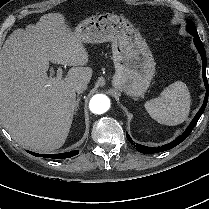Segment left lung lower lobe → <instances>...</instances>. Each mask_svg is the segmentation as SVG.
Here are the masks:
<instances>
[{
	"label": "left lung lower lobe",
	"mask_w": 209,
	"mask_h": 209,
	"mask_svg": "<svg viewBox=\"0 0 209 209\" xmlns=\"http://www.w3.org/2000/svg\"><path fill=\"white\" fill-rule=\"evenodd\" d=\"M193 37H194V44H195L196 48L198 49V52L201 55L202 62H203L202 73H203L204 84L206 87V94H205V99H204L203 105L200 108V110L198 111V113L195 115L194 119L192 120V122L190 123V125L188 126L186 131L183 132L182 135L177 137L173 142L165 144L161 147H147V146H144L141 144H135L134 146L136 147L137 151H139L143 154H152V153L167 151V150L172 149L173 147L177 146L178 144H180L192 132L193 128L196 126L199 118L201 117V115L203 114V112L206 108L207 101H208V92H209L208 81L206 78V63H207L206 53H205L204 46L199 38V35H194ZM126 136H127V139L130 141V143L133 144V140L131 139V137L129 136L128 133H126Z\"/></svg>",
	"instance_id": "0a47b994"
}]
</instances>
